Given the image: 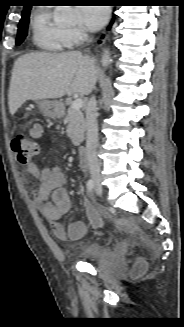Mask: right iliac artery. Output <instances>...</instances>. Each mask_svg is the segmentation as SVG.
Segmentation results:
<instances>
[{
	"label": "right iliac artery",
	"instance_id": "obj_1",
	"mask_svg": "<svg viewBox=\"0 0 184 327\" xmlns=\"http://www.w3.org/2000/svg\"><path fill=\"white\" fill-rule=\"evenodd\" d=\"M86 186H87V190L90 194H92V191L94 189V181L92 179L88 180L87 183H86Z\"/></svg>",
	"mask_w": 184,
	"mask_h": 327
}]
</instances>
